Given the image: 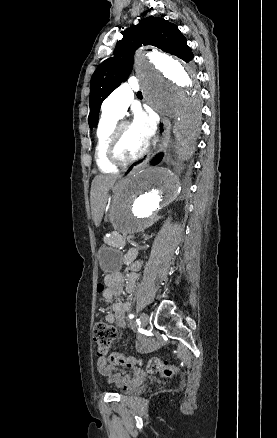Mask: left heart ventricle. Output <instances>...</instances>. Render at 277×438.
I'll list each match as a JSON object with an SVG mask.
<instances>
[{
	"mask_svg": "<svg viewBox=\"0 0 277 438\" xmlns=\"http://www.w3.org/2000/svg\"><path fill=\"white\" fill-rule=\"evenodd\" d=\"M137 71V70H136ZM144 148L132 125L124 127L121 133L120 153L125 158L137 156Z\"/></svg>",
	"mask_w": 277,
	"mask_h": 438,
	"instance_id": "left-heart-ventricle-1",
	"label": "left heart ventricle"
}]
</instances>
